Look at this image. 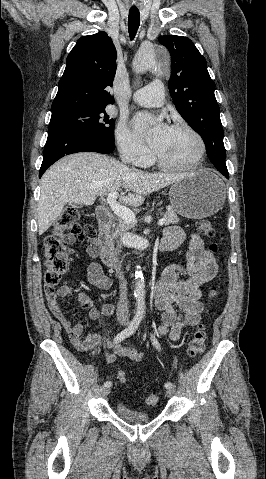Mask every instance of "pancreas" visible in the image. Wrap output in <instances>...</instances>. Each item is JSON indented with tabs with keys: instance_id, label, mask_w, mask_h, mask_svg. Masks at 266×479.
Segmentation results:
<instances>
[{
	"instance_id": "1",
	"label": "pancreas",
	"mask_w": 266,
	"mask_h": 479,
	"mask_svg": "<svg viewBox=\"0 0 266 479\" xmlns=\"http://www.w3.org/2000/svg\"><path fill=\"white\" fill-rule=\"evenodd\" d=\"M164 218L166 219V225L177 224L179 222V218L173 209L167 210L164 214ZM132 227V224L127 223L124 220H119V223L116 226L115 233L112 236H108L109 244L111 245L115 238H122L124 236V233Z\"/></svg>"
}]
</instances>
